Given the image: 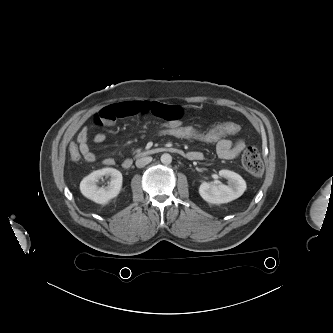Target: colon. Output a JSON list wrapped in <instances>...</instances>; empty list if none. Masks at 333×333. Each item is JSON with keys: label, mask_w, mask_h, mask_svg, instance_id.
Returning <instances> with one entry per match:
<instances>
[{"label": "colon", "mask_w": 333, "mask_h": 333, "mask_svg": "<svg viewBox=\"0 0 333 333\" xmlns=\"http://www.w3.org/2000/svg\"><path fill=\"white\" fill-rule=\"evenodd\" d=\"M240 126L233 121L218 122L208 128L187 125L184 123H162L156 128V134L175 139L196 140L207 143L218 141L238 134ZM69 156L73 161L81 159L79 147L72 143L69 146ZM243 167L252 175L260 176L263 172V164L258 149L248 146L242 155Z\"/></svg>", "instance_id": "colon-1"}]
</instances>
